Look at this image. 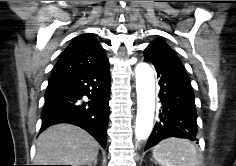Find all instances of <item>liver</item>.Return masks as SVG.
I'll use <instances>...</instances> for the list:
<instances>
[{"label":"liver","mask_w":236,"mask_h":166,"mask_svg":"<svg viewBox=\"0 0 236 166\" xmlns=\"http://www.w3.org/2000/svg\"><path fill=\"white\" fill-rule=\"evenodd\" d=\"M99 144L83 129L57 124L41 133L36 142L37 165H90L97 158Z\"/></svg>","instance_id":"1"}]
</instances>
